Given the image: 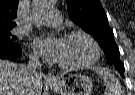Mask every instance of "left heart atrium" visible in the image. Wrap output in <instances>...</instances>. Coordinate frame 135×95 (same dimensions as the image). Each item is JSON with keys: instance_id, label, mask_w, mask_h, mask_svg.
<instances>
[{"instance_id": "obj_1", "label": "left heart atrium", "mask_w": 135, "mask_h": 95, "mask_svg": "<svg viewBox=\"0 0 135 95\" xmlns=\"http://www.w3.org/2000/svg\"><path fill=\"white\" fill-rule=\"evenodd\" d=\"M64 44V38L38 37L34 41L35 47L46 57L59 61Z\"/></svg>"}]
</instances>
